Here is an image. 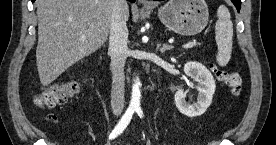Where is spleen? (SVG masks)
<instances>
[{
  "label": "spleen",
  "instance_id": "obj_1",
  "mask_svg": "<svg viewBox=\"0 0 276 145\" xmlns=\"http://www.w3.org/2000/svg\"><path fill=\"white\" fill-rule=\"evenodd\" d=\"M217 17L215 25V40L218 48L216 61L219 66H226L232 52L233 23L230 12L224 5L219 6Z\"/></svg>",
  "mask_w": 276,
  "mask_h": 145
}]
</instances>
